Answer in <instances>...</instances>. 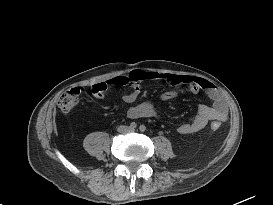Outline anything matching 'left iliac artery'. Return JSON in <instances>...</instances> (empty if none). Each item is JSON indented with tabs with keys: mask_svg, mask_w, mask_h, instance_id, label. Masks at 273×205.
I'll return each mask as SVG.
<instances>
[{
	"mask_svg": "<svg viewBox=\"0 0 273 205\" xmlns=\"http://www.w3.org/2000/svg\"><path fill=\"white\" fill-rule=\"evenodd\" d=\"M139 129H140V131L144 132V131L146 130V127H145L144 125H141V126L139 127Z\"/></svg>",
	"mask_w": 273,
	"mask_h": 205,
	"instance_id": "left-iliac-artery-1",
	"label": "left iliac artery"
}]
</instances>
